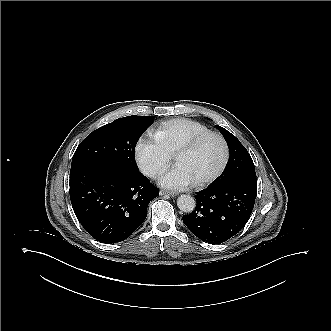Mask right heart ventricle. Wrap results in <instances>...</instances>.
I'll list each match as a JSON object with an SVG mask.
<instances>
[{"instance_id": "1", "label": "right heart ventricle", "mask_w": 331, "mask_h": 331, "mask_svg": "<svg viewBox=\"0 0 331 331\" xmlns=\"http://www.w3.org/2000/svg\"><path fill=\"white\" fill-rule=\"evenodd\" d=\"M208 132L201 122L189 118H175L163 123L156 133V143L167 154H175L192 138Z\"/></svg>"}]
</instances>
